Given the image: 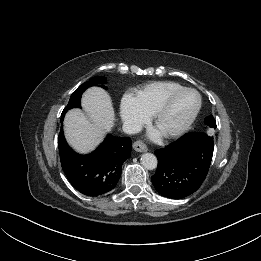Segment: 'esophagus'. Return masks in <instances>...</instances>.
<instances>
[{"instance_id":"1","label":"esophagus","mask_w":261,"mask_h":261,"mask_svg":"<svg viewBox=\"0 0 261 261\" xmlns=\"http://www.w3.org/2000/svg\"><path fill=\"white\" fill-rule=\"evenodd\" d=\"M133 148L137 152H146L148 150L147 146L142 141L134 142Z\"/></svg>"}]
</instances>
